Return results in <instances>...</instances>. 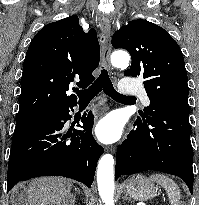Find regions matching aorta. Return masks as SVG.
<instances>
[{
    "mask_svg": "<svg viewBox=\"0 0 199 205\" xmlns=\"http://www.w3.org/2000/svg\"><path fill=\"white\" fill-rule=\"evenodd\" d=\"M130 56L126 51L118 50L111 55V63L118 68L129 65ZM98 191L105 205H114V158L111 154L103 155L97 170Z\"/></svg>",
    "mask_w": 199,
    "mask_h": 205,
    "instance_id": "1",
    "label": "aorta"
}]
</instances>
